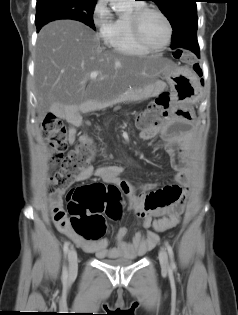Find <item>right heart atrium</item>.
Segmentation results:
<instances>
[{"mask_svg": "<svg viewBox=\"0 0 238 315\" xmlns=\"http://www.w3.org/2000/svg\"><path fill=\"white\" fill-rule=\"evenodd\" d=\"M91 19L93 25L103 36L106 28L109 26L112 15L107 5V0H96L92 8Z\"/></svg>", "mask_w": 238, "mask_h": 315, "instance_id": "d8ad5b80", "label": "right heart atrium"}]
</instances>
